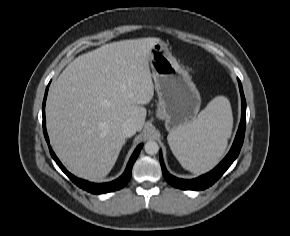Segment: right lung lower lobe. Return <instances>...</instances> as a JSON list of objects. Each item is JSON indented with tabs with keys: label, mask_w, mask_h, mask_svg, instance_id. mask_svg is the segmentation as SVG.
<instances>
[{
	"label": "right lung lower lobe",
	"mask_w": 290,
	"mask_h": 236,
	"mask_svg": "<svg viewBox=\"0 0 290 236\" xmlns=\"http://www.w3.org/2000/svg\"><path fill=\"white\" fill-rule=\"evenodd\" d=\"M48 87H49V85H48ZM48 87L46 88V91H45V97H44L43 106H42L43 132H44L45 139L48 143L50 154H51L52 158L55 160V162L58 164V166L61 168V170L72 180V182H74L78 187H80L88 192H91L94 194H103V193L113 192V191H116V190L123 188L131 178L133 164H134L135 160L137 159L139 152H140L143 145L140 144L135 149L133 155L131 156V158L128 162V165H127L125 172L117 180H114V181L108 182V183H103V184H95V183H91V182H88V181H85V180H82V179L75 177L74 175H72L70 172H68L64 168V166L61 164V162L56 157L55 153L53 152V150L51 149V147L49 145V139H48L46 126H45V101H46V97H47Z\"/></svg>",
	"instance_id": "1"
}]
</instances>
